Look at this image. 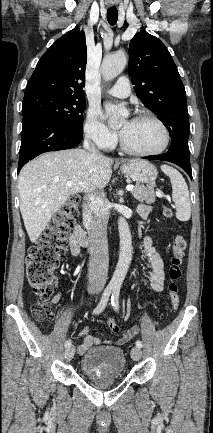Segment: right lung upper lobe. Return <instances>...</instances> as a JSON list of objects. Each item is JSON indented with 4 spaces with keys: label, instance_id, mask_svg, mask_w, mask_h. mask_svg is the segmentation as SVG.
<instances>
[{
    "label": "right lung upper lobe",
    "instance_id": "obj_1",
    "mask_svg": "<svg viewBox=\"0 0 213 433\" xmlns=\"http://www.w3.org/2000/svg\"><path fill=\"white\" fill-rule=\"evenodd\" d=\"M86 63L85 33L75 28L56 40L40 58L24 97L53 93L84 98Z\"/></svg>",
    "mask_w": 213,
    "mask_h": 433
}]
</instances>
